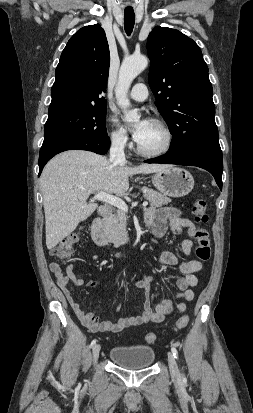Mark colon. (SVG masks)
I'll use <instances>...</instances> for the list:
<instances>
[{
    "label": "colon",
    "instance_id": "1",
    "mask_svg": "<svg viewBox=\"0 0 253 413\" xmlns=\"http://www.w3.org/2000/svg\"><path fill=\"white\" fill-rule=\"evenodd\" d=\"M192 212L195 221L201 226L195 231L194 236L198 242V247L196 249L197 257L203 261L207 262L211 258V242L209 238L208 230L203 226L208 220L209 216L207 214V204L205 200L198 199L195 201ZM80 240L79 232H72L64 239H62L56 246H54L50 253L61 259H65L71 256L73 251V246ZM189 322V317L187 315L181 316L175 323L174 329L180 330L184 328ZM157 339L156 334L149 333L146 336L148 343H154Z\"/></svg>",
    "mask_w": 253,
    "mask_h": 413
}]
</instances>
